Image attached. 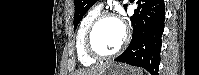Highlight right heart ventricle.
I'll use <instances>...</instances> for the list:
<instances>
[{
    "label": "right heart ventricle",
    "mask_w": 199,
    "mask_h": 75,
    "mask_svg": "<svg viewBox=\"0 0 199 75\" xmlns=\"http://www.w3.org/2000/svg\"><path fill=\"white\" fill-rule=\"evenodd\" d=\"M100 13V8L93 7L90 10H88L83 18L80 21L78 31L76 34V50H77V56L81 64L85 66H90L96 63V59L89 56L85 50L84 46V36L85 32L92 22V20Z\"/></svg>",
    "instance_id": "e07e8e85"
}]
</instances>
